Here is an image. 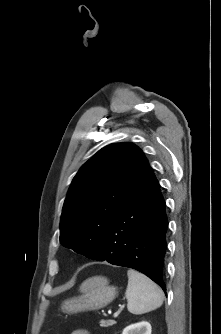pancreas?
Segmentation results:
<instances>
[{
	"label": "pancreas",
	"mask_w": 221,
	"mask_h": 334,
	"mask_svg": "<svg viewBox=\"0 0 221 334\" xmlns=\"http://www.w3.org/2000/svg\"><path fill=\"white\" fill-rule=\"evenodd\" d=\"M101 327H109V326H113L114 324H116V322L114 320H104L102 319L99 322Z\"/></svg>",
	"instance_id": "1"
}]
</instances>
